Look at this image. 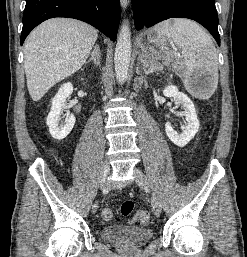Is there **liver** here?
<instances>
[{"instance_id": "6515ba94", "label": "liver", "mask_w": 247, "mask_h": 257, "mask_svg": "<svg viewBox=\"0 0 247 257\" xmlns=\"http://www.w3.org/2000/svg\"><path fill=\"white\" fill-rule=\"evenodd\" d=\"M98 37L97 30L75 19L52 18L36 27L24 45L27 87L33 101L78 71Z\"/></svg>"}]
</instances>
